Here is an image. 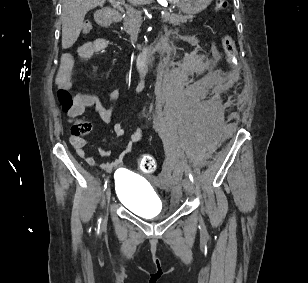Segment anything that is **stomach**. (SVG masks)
<instances>
[{"mask_svg": "<svg viewBox=\"0 0 308 283\" xmlns=\"http://www.w3.org/2000/svg\"><path fill=\"white\" fill-rule=\"evenodd\" d=\"M169 3L175 4L179 10L185 14H197L203 11L212 0H168Z\"/></svg>", "mask_w": 308, "mask_h": 283, "instance_id": "1", "label": "stomach"}]
</instances>
